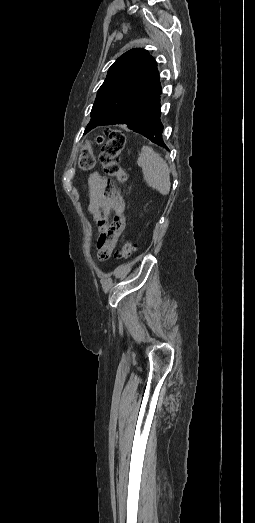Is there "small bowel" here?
<instances>
[{
	"label": "small bowel",
	"mask_w": 255,
	"mask_h": 523,
	"mask_svg": "<svg viewBox=\"0 0 255 523\" xmlns=\"http://www.w3.org/2000/svg\"><path fill=\"white\" fill-rule=\"evenodd\" d=\"M88 213L97 225L98 258L102 261L107 260L112 256L125 229V202L115 185L97 173L89 177Z\"/></svg>",
	"instance_id": "1"
}]
</instances>
